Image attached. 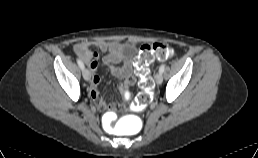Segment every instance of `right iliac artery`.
Wrapping results in <instances>:
<instances>
[{
  "label": "right iliac artery",
  "instance_id": "82829eb1",
  "mask_svg": "<svg viewBox=\"0 0 258 158\" xmlns=\"http://www.w3.org/2000/svg\"><path fill=\"white\" fill-rule=\"evenodd\" d=\"M77 63L79 65V67L83 70L84 69V64L80 59H77Z\"/></svg>",
  "mask_w": 258,
  "mask_h": 158
}]
</instances>
